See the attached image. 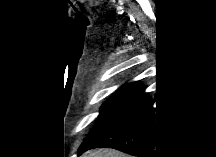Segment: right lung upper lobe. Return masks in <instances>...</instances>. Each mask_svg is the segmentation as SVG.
I'll list each match as a JSON object with an SVG mask.
<instances>
[{
    "label": "right lung upper lobe",
    "mask_w": 216,
    "mask_h": 157,
    "mask_svg": "<svg viewBox=\"0 0 216 157\" xmlns=\"http://www.w3.org/2000/svg\"><path fill=\"white\" fill-rule=\"evenodd\" d=\"M144 89L139 83L132 82L126 83L122 87H120L115 93L117 92H139L140 90Z\"/></svg>",
    "instance_id": "right-lung-upper-lobe-1"
}]
</instances>
